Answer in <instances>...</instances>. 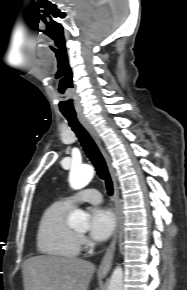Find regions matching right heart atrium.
<instances>
[{"label":"right heart atrium","instance_id":"d8ad5b80","mask_svg":"<svg viewBox=\"0 0 187 290\" xmlns=\"http://www.w3.org/2000/svg\"><path fill=\"white\" fill-rule=\"evenodd\" d=\"M79 239H80V243L81 244H86L87 243V239L85 237L80 236Z\"/></svg>","mask_w":187,"mask_h":290}]
</instances>
